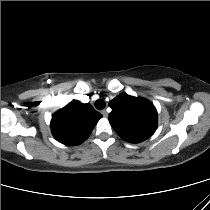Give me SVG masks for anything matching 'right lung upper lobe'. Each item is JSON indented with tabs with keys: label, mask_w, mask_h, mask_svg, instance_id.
Wrapping results in <instances>:
<instances>
[{
	"label": "right lung upper lobe",
	"mask_w": 210,
	"mask_h": 210,
	"mask_svg": "<svg viewBox=\"0 0 210 210\" xmlns=\"http://www.w3.org/2000/svg\"><path fill=\"white\" fill-rule=\"evenodd\" d=\"M101 117L90 104L73 100L52 116V133L62 144L78 145L89 137Z\"/></svg>",
	"instance_id": "obj_1"
}]
</instances>
